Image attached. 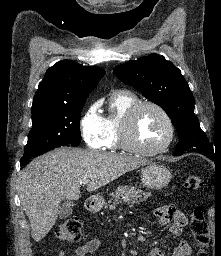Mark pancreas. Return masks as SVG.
Instances as JSON below:
<instances>
[{
	"label": "pancreas",
	"mask_w": 221,
	"mask_h": 256,
	"mask_svg": "<svg viewBox=\"0 0 221 256\" xmlns=\"http://www.w3.org/2000/svg\"><path fill=\"white\" fill-rule=\"evenodd\" d=\"M110 196H112V198L108 201V204L105 205V208L112 210L117 204L121 203V201L130 203L132 205L147 201L148 197L151 196V193L142 192L141 190H137L135 187L119 186L113 193L110 194Z\"/></svg>",
	"instance_id": "obj_1"
}]
</instances>
